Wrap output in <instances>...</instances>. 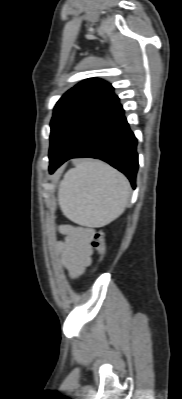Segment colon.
Segmentation results:
<instances>
[{"mask_svg": "<svg viewBox=\"0 0 182 399\" xmlns=\"http://www.w3.org/2000/svg\"><path fill=\"white\" fill-rule=\"evenodd\" d=\"M92 244L98 252V255H99L98 262L101 263L106 254V242H105L104 229H98L97 231H95Z\"/></svg>", "mask_w": 182, "mask_h": 399, "instance_id": "5ec220e1", "label": "colon"}]
</instances>
